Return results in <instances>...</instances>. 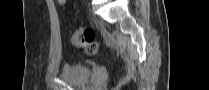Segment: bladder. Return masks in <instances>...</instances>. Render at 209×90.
I'll list each match as a JSON object with an SVG mask.
<instances>
[{
	"instance_id": "obj_1",
	"label": "bladder",
	"mask_w": 209,
	"mask_h": 90,
	"mask_svg": "<svg viewBox=\"0 0 209 90\" xmlns=\"http://www.w3.org/2000/svg\"><path fill=\"white\" fill-rule=\"evenodd\" d=\"M61 77L70 83L84 84L90 78V71L84 64L65 62L61 68Z\"/></svg>"
}]
</instances>
